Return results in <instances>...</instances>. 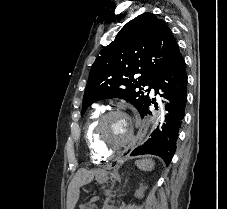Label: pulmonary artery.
<instances>
[{
  "label": "pulmonary artery",
  "mask_w": 227,
  "mask_h": 209,
  "mask_svg": "<svg viewBox=\"0 0 227 209\" xmlns=\"http://www.w3.org/2000/svg\"><path fill=\"white\" fill-rule=\"evenodd\" d=\"M92 104H93V105H96V104H97V101H96V100H93V101H92Z\"/></svg>",
  "instance_id": "1"
}]
</instances>
